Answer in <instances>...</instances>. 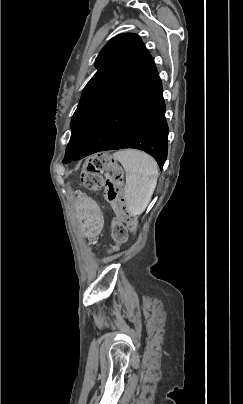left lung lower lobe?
<instances>
[{"mask_svg": "<svg viewBox=\"0 0 243 404\" xmlns=\"http://www.w3.org/2000/svg\"><path fill=\"white\" fill-rule=\"evenodd\" d=\"M158 73L106 110L79 150L64 163L90 154L135 148L152 155L162 170L168 151V126Z\"/></svg>", "mask_w": 243, "mask_h": 404, "instance_id": "1", "label": "left lung lower lobe"}]
</instances>
